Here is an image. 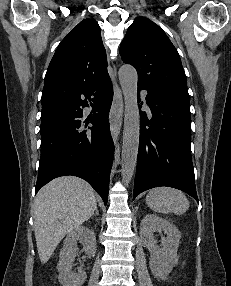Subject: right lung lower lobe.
Here are the masks:
<instances>
[{
  "label": "right lung lower lobe",
  "instance_id": "98d812e1",
  "mask_svg": "<svg viewBox=\"0 0 231 286\" xmlns=\"http://www.w3.org/2000/svg\"><path fill=\"white\" fill-rule=\"evenodd\" d=\"M87 99L94 102L90 131L82 129L81 120ZM112 99L109 78L81 90L60 106L64 113L41 122V158L35 192L56 177L74 175L86 180L107 204L114 155L108 123Z\"/></svg>",
  "mask_w": 231,
  "mask_h": 286
}]
</instances>
